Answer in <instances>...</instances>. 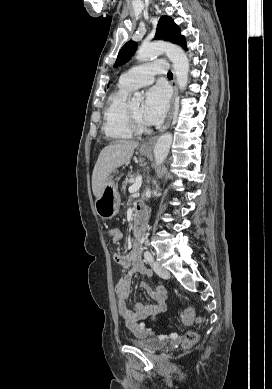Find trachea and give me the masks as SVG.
<instances>
[{
	"mask_svg": "<svg viewBox=\"0 0 272 389\" xmlns=\"http://www.w3.org/2000/svg\"><path fill=\"white\" fill-rule=\"evenodd\" d=\"M167 77H169V78H172V77H173V74H172L171 71H169V72L167 73Z\"/></svg>",
	"mask_w": 272,
	"mask_h": 389,
	"instance_id": "trachea-1",
	"label": "trachea"
}]
</instances>
